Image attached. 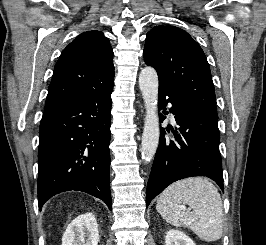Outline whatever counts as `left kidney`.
<instances>
[{
    "label": "left kidney",
    "instance_id": "5707ae66",
    "mask_svg": "<svg viewBox=\"0 0 266 245\" xmlns=\"http://www.w3.org/2000/svg\"><path fill=\"white\" fill-rule=\"evenodd\" d=\"M165 243L166 245H195L188 235L181 233V231H176V229H170L166 233Z\"/></svg>",
    "mask_w": 266,
    "mask_h": 245
}]
</instances>
